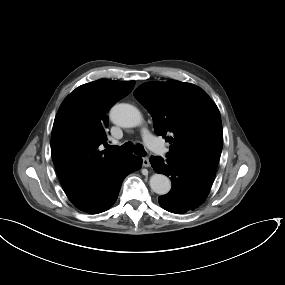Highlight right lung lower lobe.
I'll use <instances>...</instances> for the list:
<instances>
[{
    "label": "right lung lower lobe",
    "mask_w": 285,
    "mask_h": 285,
    "mask_svg": "<svg viewBox=\"0 0 285 285\" xmlns=\"http://www.w3.org/2000/svg\"><path fill=\"white\" fill-rule=\"evenodd\" d=\"M141 166L142 158L131 155L125 164L111 172L85 200L75 206L90 214L108 210L117 199L124 178Z\"/></svg>",
    "instance_id": "1"
}]
</instances>
